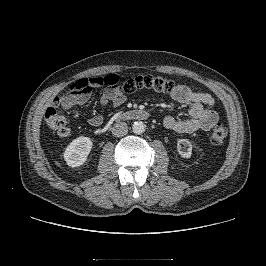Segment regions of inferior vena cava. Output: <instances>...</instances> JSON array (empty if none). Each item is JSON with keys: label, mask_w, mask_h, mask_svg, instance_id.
<instances>
[{"label": "inferior vena cava", "mask_w": 266, "mask_h": 266, "mask_svg": "<svg viewBox=\"0 0 266 266\" xmlns=\"http://www.w3.org/2000/svg\"><path fill=\"white\" fill-rule=\"evenodd\" d=\"M128 126L125 122H116L112 128V134L116 137H122L127 134Z\"/></svg>", "instance_id": "602c4592"}]
</instances>
